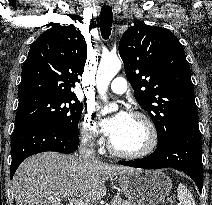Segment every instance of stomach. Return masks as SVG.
<instances>
[{"label":"stomach","instance_id":"1","mask_svg":"<svg viewBox=\"0 0 212 205\" xmlns=\"http://www.w3.org/2000/svg\"><path fill=\"white\" fill-rule=\"evenodd\" d=\"M132 205H160L170 194L171 179L161 171L135 169L117 177Z\"/></svg>","mask_w":212,"mask_h":205}]
</instances>
